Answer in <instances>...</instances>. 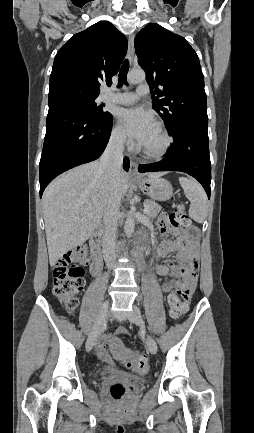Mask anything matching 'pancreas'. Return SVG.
<instances>
[{
  "label": "pancreas",
  "mask_w": 254,
  "mask_h": 433,
  "mask_svg": "<svg viewBox=\"0 0 254 433\" xmlns=\"http://www.w3.org/2000/svg\"><path fill=\"white\" fill-rule=\"evenodd\" d=\"M144 204L149 208L147 213L149 218H155L161 210V206L153 200H145Z\"/></svg>",
  "instance_id": "1"
}]
</instances>
